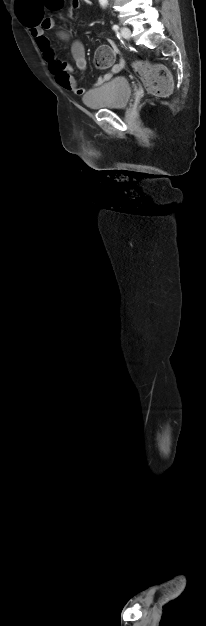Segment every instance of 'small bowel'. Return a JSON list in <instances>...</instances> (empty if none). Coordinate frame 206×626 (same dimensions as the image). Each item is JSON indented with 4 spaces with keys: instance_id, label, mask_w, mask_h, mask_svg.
I'll use <instances>...</instances> for the list:
<instances>
[{
    "instance_id": "small-bowel-1",
    "label": "small bowel",
    "mask_w": 206,
    "mask_h": 626,
    "mask_svg": "<svg viewBox=\"0 0 206 626\" xmlns=\"http://www.w3.org/2000/svg\"><path fill=\"white\" fill-rule=\"evenodd\" d=\"M80 6L79 0H72L71 7L76 9ZM31 21H34L33 24H27L30 27L31 35L34 38L45 62L47 63L50 72L54 75L57 83L64 88L74 94L83 95L86 92V89L80 87L77 84V81L71 74L72 68L71 66L58 59L55 56L54 47L46 35V33L53 29L54 22L51 18H45L38 15L32 16L30 18ZM58 36L65 41L71 40V35L66 31H60ZM114 47V46H113ZM72 56L74 58L76 67L84 71L87 68V61L85 57V49L83 44L76 39L72 40L71 47ZM123 66V61H120L118 64L113 66L109 73H106L100 76L95 83V86H99L105 82H107L113 74L118 73Z\"/></svg>"
}]
</instances>
